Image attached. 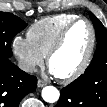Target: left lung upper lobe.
<instances>
[{
    "instance_id": "left-lung-upper-lobe-1",
    "label": "left lung upper lobe",
    "mask_w": 107,
    "mask_h": 107,
    "mask_svg": "<svg viewBox=\"0 0 107 107\" xmlns=\"http://www.w3.org/2000/svg\"><path fill=\"white\" fill-rule=\"evenodd\" d=\"M90 18L96 29V38L98 42L97 50L90 66L86 69L85 73L74 81L75 83L85 84L87 86L90 84L91 81V74L93 73L92 68L96 64L98 51L102 50L107 56V29L103 26V24L94 14L90 13ZM105 62L107 64V59L105 60Z\"/></svg>"
}]
</instances>
